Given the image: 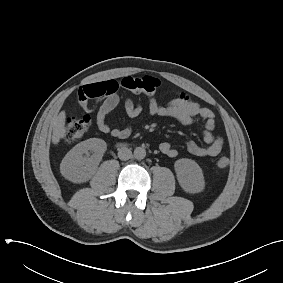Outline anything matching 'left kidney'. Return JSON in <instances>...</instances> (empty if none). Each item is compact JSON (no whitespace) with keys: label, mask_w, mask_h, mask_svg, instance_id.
Instances as JSON below:
<instances>
[{"label":"left kidney","mask_w":283,"mask_h":283,"mask_svg":"<svg viewBox=\"0 0 283 283\" xmlns=\"http://www.w3.org/2000/svg\"><path fill=\"white\" fill-rule=\"evenodd\" d=\"M180 186L189 193H199L205 187L202 169L191 159L182 158L174 164Z\"/></svg>","instance_id":"5707ae66"}]
</instances>
